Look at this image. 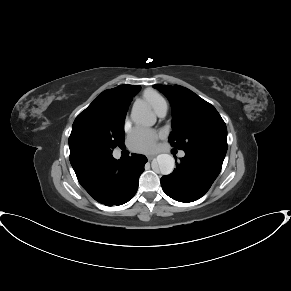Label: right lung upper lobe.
Masks as SVG:
<instances>
[{
	"mask_svg": "<svg viewBox=\"0 0 291 291\" xmlns=\"http://www.w3.org/2000/svg\"><path fill=\"white\" fill-rule=\"evenodd\" d=\"M139 89V85H120L116 88L105 90L98 97H96L93 102L76 117L75 120L90 110L106 105H113L121 109L126 114L132 97L139 91Z\"/></svg>",
	"mask_w": 291,
	"mask_h": 291,
	"instance_id": "right-lung-upper-lobe-1",
	"label": "right lung upper lobe"
}]
</instances>
